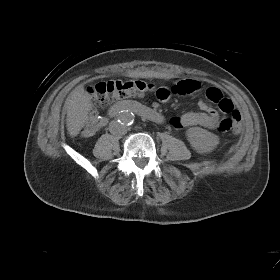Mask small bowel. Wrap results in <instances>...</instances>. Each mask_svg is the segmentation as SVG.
<instances>
[{
    "mask_svg": "<svg viewBox=\"0 0 280 280\" xmlns=\"http://www.w3.org/2000/svg\"><path fill=\"white\" fill-rule=\"evenodd\" d=\"M200 88L201 84L199 81L193 79H183L175 83L171 88L166 89L170 94L188 95L199 91ZM198 107L200 109L199 112H188L179 117L172 118L171 125L176 129L189 128L193 126L216 129L219 125V115L217 111L209 106L203 99L199 100ZM92 134V129H87L83 132V136L85 137L91 136Z\"/></svg>",
    "mask_w": 280,
    "mask_h": 280,
    "instance_id": "1",
    "label": "small bowel"
}]
</instances>
